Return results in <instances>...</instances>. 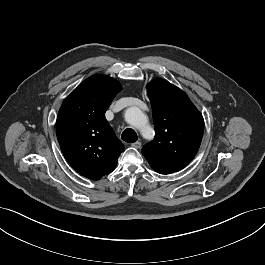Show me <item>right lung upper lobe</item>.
Returning <instances> with one entry per match:
<instances>
[{"label":"right lung upper lobe","instance_id":"1","mask_svg":"<svg viewBox=\"0 0 265 265\" xmlns=\"http://www.w3.org/2000/svg\"><path fill=\"white\" fill-rule=\"evenodd\" d=\"M121 85L106 75L83 81L63 102L56 121L64 157L80 175L97 180L111 173L124 145L105 118Z\"/></svg>","mask_w":265,"mask_h":265}]
</instances>
